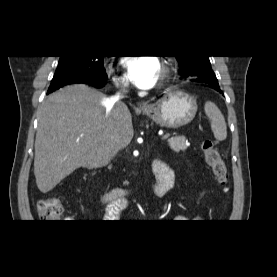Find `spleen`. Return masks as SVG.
<instances>
[{"instance_id": "spleen-1", "label": "spleen", "mask_w": 277, "mask_h": 277, "mask_svg": "<svg viewBox=\"0 0 277 277\" xmlns=\"http://www.w3.org/2000/svg\"><path fill=\"white\" fill-rule=\"evenodd\" d=\"M205 113L210 120L211 129L217 140L223 141L227 137V126L223 114L219 108L211 101H207L204 106Z\"/></svg>"}]
</instances>
